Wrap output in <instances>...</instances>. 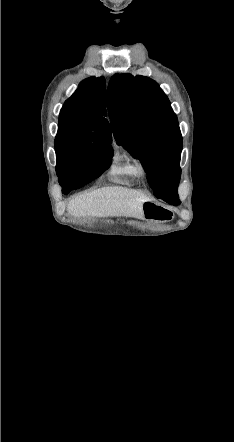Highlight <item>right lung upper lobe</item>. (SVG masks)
Listing matches in <instances>:
<instances>
[{"label": "right lung upper lobe", "instance_id": "1", "mask_svg": "<svg viewBox=\"0 0 234 442\" xmlns=\"http://www.w3.org/2000/svg\"><path fill=\"white\" fill-rule=\"evenodd\" d=\"M106 89L103 77L83 80L75 93L64 103L59 124L70 127L89 142H112L106 115Z\"/></svg>", "mask_w": 234, "mask_h": 442}]
</instances>
